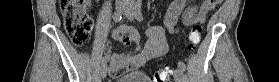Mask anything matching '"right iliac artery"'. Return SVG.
Instances as JSON below:
<instances>
[{
	"instance_id": "82829eb1",
	"label": "right iliac artery",
	"mask_w": 279,
	"mask_h": 82,
	"mask_svg": "<svg viewBox=\"0 0 279 82\" xmlns=\"http://www.w3.org/2000/svg\"><path fill=\"white\" fill-rule=\"evenodd\" d=\"M121 18H122L121 12L114 13L113 19L116 23L120 22ZM101 62H102V65H106V63H107L106 58H103Z\"/></svg>"
}]
</instances>
